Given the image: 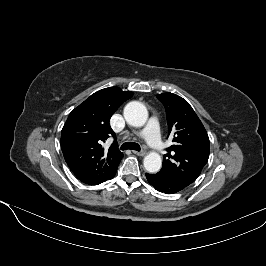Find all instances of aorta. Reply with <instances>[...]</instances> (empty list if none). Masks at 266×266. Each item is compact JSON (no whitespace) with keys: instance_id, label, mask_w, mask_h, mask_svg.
<instances>
[{"instance_id":"762f6f07","label":"aorta","mask_w":266,"mask_h":266,"mask_svg":"<svg viewBox=\"0 0 266 266\" xmlns=\"http://www.w3.org/2000/svg\"><path fill=\"white\" fill-rule=\"evenodd\" d=\"M124 117L130 125L141 127L147 122L148 111L141 102L132 101L125 106ZM143 164L147 172L156 173L162 166L161 156L156 152H150L145 156Z\"/></svg>"}]
</instances>
